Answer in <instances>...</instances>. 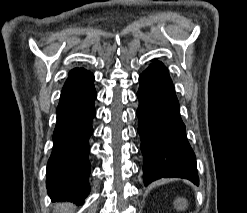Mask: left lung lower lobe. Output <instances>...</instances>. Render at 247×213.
Listing matches in <instances>:
<instances>
[{
    "label": "left lung lower lobe",
    "mask_w": 247,
    "mask_h": 213,
    "mask_svg": "<svg viewBox=\"0 0 247 213\" xmlns=\"http://www.w3.org/2000/svg\"><path fill=\"white\" fill-rule=\"evenodd\" d=\"M139 82L137 116L145 186L162 177L185 178L198 185L195 154L186 138L167 68L154 61Z\"/></svg>",
    "instance_id": "1"
}]
</instances>
